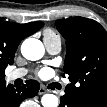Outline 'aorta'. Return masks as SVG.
<instances>
[{
    "instance_id": "obj_1",
    "label": "aorta",
    "mask_w": 107,
    "mask_h": 107,
    "mask_svg": "<svg viewBox=\"0 0 107 107\" xmlns=\"http://www.w3.org/2000/svg\"><path fill=\"white\" fill-rule=\"evenodd\" d=\"M21 53L27 60L36 61L43 57L45 48L40 40L28 38L22 43ZM41 103L43 107H57L59 104L58 97L54 94L43 95Z\"/></svg>"
}]
</instances>
